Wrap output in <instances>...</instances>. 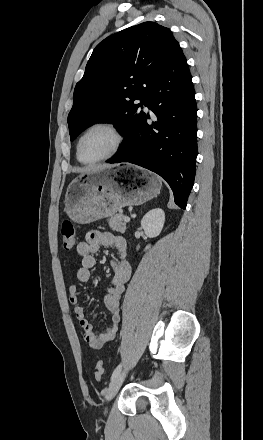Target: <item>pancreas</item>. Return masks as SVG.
Listing matches in <instances>:
<instances>
[{
    "label": "pancreas",
    "instance_id": "obj_1",
    "mask_svg": "<svg viewBox=\"0 0 263 440\" xmlns=\"http://www.w3.org/2000/svg\"><path fill=\"white\" fill-rule=\"evenodd\" d=\"M124 216L122 214H116L108 219V225L113 231L123 233L126 229V224L123 222Z\"/></svg>",
    "mask_w": 263,
    "mask_h": 440
}]
</instances>
